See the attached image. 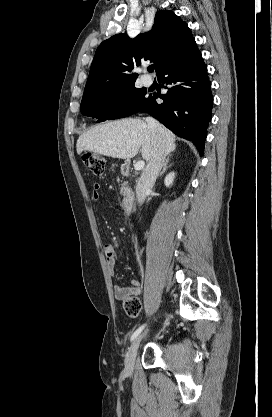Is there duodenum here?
Wrapping results in <instances>:
<instances>
[{
	"mask_svg": "<svg viewBox=\"0 0 272 417\" xmlns=\"http://www.w3.org/2000/svg\"><path fill=\"white\" fill-rule=\"evenodd\" d=\"M121 171L124 175L130 176L132 174V167L130 163H124L121 167ZM135 193L132 189H126L124 197L121 203L122 209L126 214H129L134 206Z\"/></svg>",
	"mask_w": 272,
	"mask_h": 417,
	"instance_id": "410a0bca",
	"label": "duodenum"
}]
</instances>
